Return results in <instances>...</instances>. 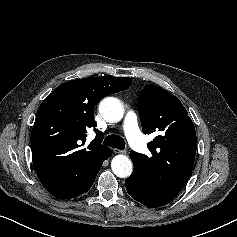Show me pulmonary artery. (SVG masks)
<instances>
[{"instance_id": "e3ab8cb5", "label": "pulmonary artery", "mask_w": 237, "mask_h": 237, "mask_svg": "<svg viewBox=\"0 0 237 237\" xmlns=\"http://www.w3.org/2000/svg\"><path fill=\"white\" fill-rule=\"evenodd\" d=\"M124 130L128 141L135 149L144 152L145 146L142 141V135L138 127L137 116L134 111L129 110L124 119Z\"/></svg>"}]
</instances>
